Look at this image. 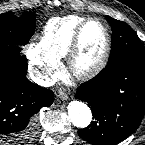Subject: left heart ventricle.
<instances>
[{
  "label": "left heart ventricle",
  "instance_id": "b2bd125f",
  "mask_svg": "<svg viewBox=\"0 0 145 145\" xmlns=\"http://www.w3.org/2000/svg\"><path fill=\"white\" fill-rule=\"evenodd\" d=\"M82 51L77 65L85 68L94 64L100 57L104 47V34L96 23L89 24L82 35Z\"/></svg>",
  "mask_w": 145,
  "mask_h": 145
}]
</instances>
